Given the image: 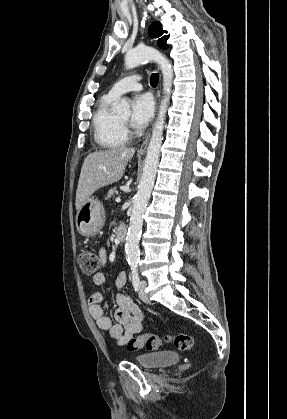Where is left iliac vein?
<instances>
[{
	"label": "left iliac vein",
	"instance_id": "1",
	"mask_svg": "<svg viewBox=\"0 0 287 419\" xmlns=\"http://www.w3.org/2000/svg\"><path fill=\"white\" fill-rule=\"evenodd\" d=\"M146 286H147V282L142 280L140 282L139 297L144 303H150V299L145 292Z\"/></svg>",
	"mask_w": 287,
	"mask_h": 419
}]
</instances>
